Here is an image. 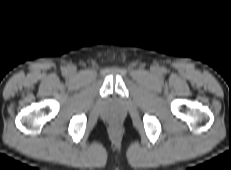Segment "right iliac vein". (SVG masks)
I'll use <instances>...</instances> for the list:
<instances>
[{
    "mask_svg": "<svg viewBox=\"0 0 231 170\" xmlns=\"http://www.w3.org/2000/svg\"><path fill=\"white\" fill-rule=\"evenodd\" d=\"M67 72L69 75H74L76 73V67L75 66H69L67 68Z\"/></svg>",
    "mask_w": 231,
    "mask_h": 170,
    "instance_id": "obj_1",
    "label": "right iliac vein"
}]
</instances>
